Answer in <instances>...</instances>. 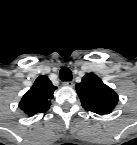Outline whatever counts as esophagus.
Returning <instances> with one entry per match:
<instances>
[{"label": "esophagus", "instance_id": "34e87169", "mask_svg": "<svg viewBox=\"0 0 137 145\" xmlns=\"http://www.w3.org/2000/svg\"><path fill=\"white\" fill-rule=\"evenodd\" d=\"M63 85L66 86V87H73L74 82L73 81H65V82H63Z\"/></svg>", "mask_w": 137, "mask_h": 145}]
</instances>
